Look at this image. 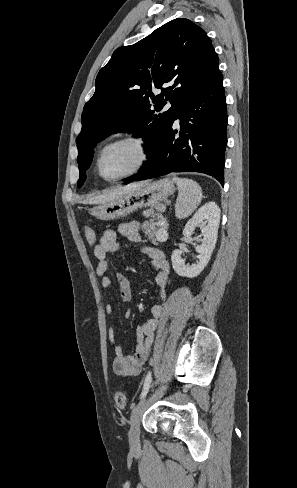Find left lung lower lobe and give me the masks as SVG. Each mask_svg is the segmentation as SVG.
<instances>
[{"mask_svg": "<svg viewBox=\"0 0 297 488\" xmlns=\"http://www.w3.org/2000/svg\"><path fill=\"white\" fill-rule=\"evenodd\" d=\"M176 119L180 120L179 137L175 138L177 130L171 126L155 157L125 180H145L170 172H200L224 186L228 116L221 72L184 105Z\"/></svg>", "mask_w": 297, "mask_h": 488, "instance_id": "left-lung-lower-lobe-1", "label": "left lung lower lobe"}]
</instances>
